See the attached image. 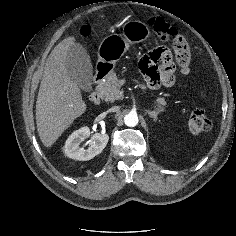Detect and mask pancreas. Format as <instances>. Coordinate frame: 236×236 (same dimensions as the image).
Returning <instances> with one entry per match:
<instances>
[{"mask_svg": "<svg viewBox=\"0 0 236 236\" xmlns=\"http://www.w3.org/2000/svg\"><path fill=\"white\" fill-rule=\"evenodd\" d=\"M121 86L122 82L118 79L116 73L111 72L105 77V81L101 83L99 93L105 101L113 102L114 100L121 99L123 94L121 91ZM156 102L158 105H167L164 97H158Z\"/></svg>", "mask_w": 236, "mask_h": 236, "instance_id": "1", "label": "pancreas"}]
</instances>
